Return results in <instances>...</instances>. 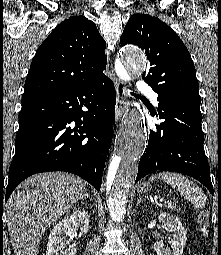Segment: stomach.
Wrapping results in <instances>:
<instances>
[{
    "label": "stomach",
    "instance_id": "0dacf381",
    "mask_svg": "<svg viewBox=\"0 0 221 255\" xmlns=\"http://www.w3.org/2000/svg\"><path fill=\"white\" fill-rule=\"evenodd\" d=\"M150 184L149 183H144L142 186L139 187V191L140 192H145L148 191L150 189Z\"/></svg>",
    "mask_w": 221,
    "mask_h": 255
}]
</instances>
